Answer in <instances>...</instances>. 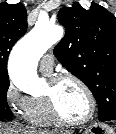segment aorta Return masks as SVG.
I'll return each mask as SVG.
<instances>
[{"instance_id":"762f6f07","label":"aorta","mask_w":116,"mask_h":134,"mask_svg":"<svg viewBox=\"0 0 116 134\" xmlns=\"http://www.w3.org/2000/svg\"><path fill=\"white\" fill-rule=\"evenodd\" d=\"M63 36V29L49 22L39 21L13 48L9 59V76L17 88L34 95L45 85L37 75L41 56Z\"/></svg>"}]
</instances>
